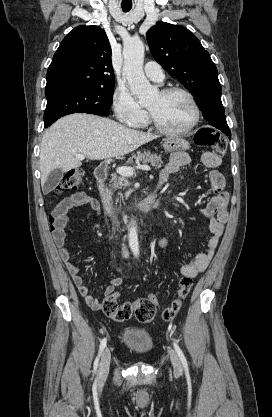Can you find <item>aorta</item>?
I'll use <instances>...</instances> for the list:
<instances>
[{"label": "aorta", "instance_id": "obj_1", "mask_svg": "<svg viewBox=\"0 0 272 417\" xmlns=\"http://www.w3.org/2000/svg\"><path fill=\"white\" fill-rule=\"evenodd\" d=\"M123 72L127 78L131 92L139 99L142 106H147L158 94V89L150 84L143 72L144 44L140 39H130L123 48ZM129 247L133 255L139 256V242L135 222H131L128 230Z\"/></svg>", "mask_w": 272, "mask_h": 417}]
</instances>
